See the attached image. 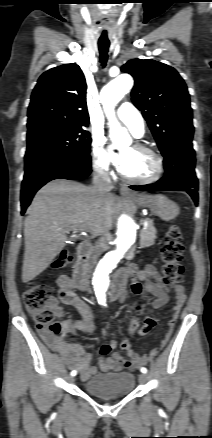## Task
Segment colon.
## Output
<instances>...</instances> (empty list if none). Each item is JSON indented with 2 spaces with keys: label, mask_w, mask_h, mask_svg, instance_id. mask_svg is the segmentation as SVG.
I'll list each match as a JSON object with an SVG mask.
<instances>
[{
  "label": "colon",
  "mask_w": 212,
  "mask_h": 438,
  "mask_svg": "<svg viewBox=\"0 0 212 438\" xmlns=\"http://www.w3.org/2000/svg\"><path fill=\"white\" fill-rule=\"evenodd\" d=\"M183 250L181 231L178 226L172 225L166 232L160 251L162 274L164 282L167 284H179L183 279ZM72 260V255L68 251L63 250L53 260L51 266L53 269H63ZM74 298L75 296L73 295L66 296L68 302L73 301ZM23 299L27 311L39 327H46L56 337L63 336L65 331L62 323L55 321V300L49 286L45 284H31L24 291ZM145 310L146 307L144 305H136L135 312L137 315L133 316L130 320V333H134L139 327Z\"/></svg>",
  "instance_id": "colon-1"
}]
</instances>
